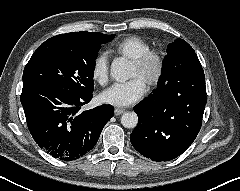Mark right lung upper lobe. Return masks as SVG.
<instances>
[{
    "mask_svg": "<svg viewBox=\"0 0 240 191\" xmlns=\"http://www.w3.org/2000/svg\"><path fill=\"white\" fill-rule=\"evenodd\" d=\"M112 37L113 35H106L99 32H72V33L57 35L55 37H52V39H56L64 42L92 44V43H97V42H102L107 40L110 41Z\"/></svg>",
    "mask_w": 240,
    "mask_h": 191,
    "instance_id": "1",
    "label": "right lung upper lobe"
}]
</instances>
